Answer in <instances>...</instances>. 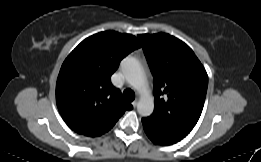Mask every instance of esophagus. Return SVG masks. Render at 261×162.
I'll return each instance as SVG.
<instances>
[{"label": "esophagus", "instance_id": "1", "mask_svg": "<svg viewBox=\"0 0 261 162\" xmlns=\"http://www.w3.org/2000/svg\"><path fill=\"white\" fill-rule=\"evenodd\" d=\"M137 104H138V101H137V100H134V101L132 102V106H133L134 108L137 106Z\"/></svg>", "mask_w": 261, "mask_h": 162}]
</instances>
